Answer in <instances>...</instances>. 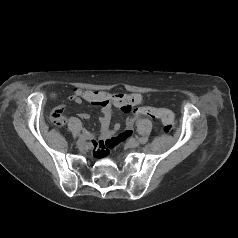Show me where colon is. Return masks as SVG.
<instances>
[{
	"instance_id": "obj_1",
	"label": "colon",
	"mask_w": 238,
	"mask_h": 238,
	"mask_svg": "<svg viewBox=\"0 0 238 238\" xmlns=\"http://www.w3.org/2000/svg\"><path fill=\"white\" fill-rule=\"evenodd\" d=\"M60 112L55 111L53 117L55 121L59 118ZM135 116H147L150 118H159L163 123V131L168 133L173 130L174 121L172 114L163 109L162 107H139L134 110ZM128 135V132L119 134L117 136H112L107 138L106 140L99 141L95 145V155L98 158L105 157L109 151L119 145Z\"/></svg>"
}]
</instances>
